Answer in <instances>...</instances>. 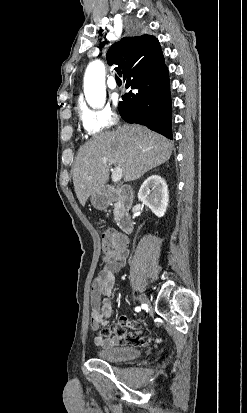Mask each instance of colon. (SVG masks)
Here are the masks:
<instances>
[{"label": "colon", "mask_w": 247, "mask_h": 413, "mask_svg": "<svg viewBox=\"0 0 247 413\" xmlns=\"http://www.w3.org/2000/svg\"><path fill=\"white\" fill-rule=\"evenodd\" d=\"M102 247L100 253L103 258L108 255L119 257L122 255V247H124V236L119 232H106L102 235Z\"/></svg>", "instance_id": "obj_1"}]
</instances>
